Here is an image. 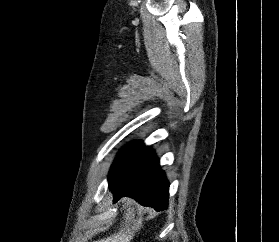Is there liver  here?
I'll return each instance as SVG.
<instances>
[{
  "instance_id": "1",
  "label": "liver",
  "mask_w": 279,
  "mask_h": 242,
  "mask_svg": "<svg viewBox=\"0 0 279 242\" xmlns=\"http://www.w3.org/2000/svg\"><path fill=\"white\" fill-rule=\"evenodd\" d=\"M136 205V203L129 201L127 203V210L124 212L123 227L118 233H115L107 238L94 241V242H130L135 236V232H138L142 227L143 217L135 219V207L131 205Z\"/></svg>"
}]
</instances>
